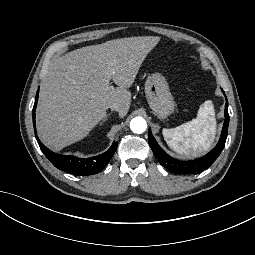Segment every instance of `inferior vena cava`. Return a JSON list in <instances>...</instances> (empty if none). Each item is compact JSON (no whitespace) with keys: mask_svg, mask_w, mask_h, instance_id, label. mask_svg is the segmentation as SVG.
<instances>
[{"mask_svg":"<svg viewBox=\"0 0 255 255\" xmlns=\"http://www.w3.org/2000/svg\"><path fill=\"white\" fill-rule=\"evenodd\" d=\"M109 107H110L111 110L119 111V109H120V104H118V103H112Z\"/></svg>","mask_w":255,"mask_h":255,"instance_id":"602c4592","label":"inferior vena cava"}]
</instances>
